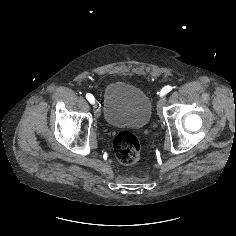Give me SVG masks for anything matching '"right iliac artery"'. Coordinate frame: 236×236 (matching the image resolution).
I'll use <instances>...</instances> for the list:
<instances>
[{"label": "right iliac artery", "instance_id": "obj_1", "mask_svg": "<svg viewBox=\"0 0 236 236\" xmlns=\"http://www.w3.org/2000/svg\"><path fill=\"white\" fill-rule=\"evenodd\" d=\"M86 99L91 103L93 104L95 102V99H94V96L90 93H87L86 94Z\"/></svg>", "mask_w": 236, "mask_h": 236}]
</instances>
